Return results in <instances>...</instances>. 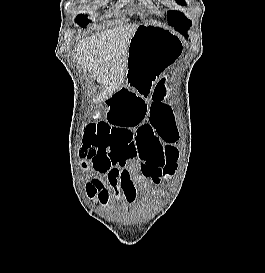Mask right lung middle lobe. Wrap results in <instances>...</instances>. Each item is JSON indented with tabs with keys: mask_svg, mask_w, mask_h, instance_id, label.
Here are the masks:
<instances>
[{
	"mask_svg": "<svg viewBox=\"0 0 265 273\" xmlns=\"http://www.w3.org/2000/svg\"><path fill=\"white\" fill-rule=\"evenodd\" d=\"M81 27H85L90 21L83 15L77 16L75 20Z\"/></svg>",
	"mask_w": 265,
	"mask_h": 273,
	"instance_id": "1",
	"label": "right lung middle lobe"
}]
</instances>
